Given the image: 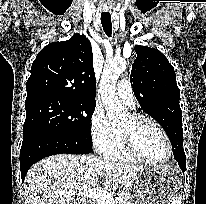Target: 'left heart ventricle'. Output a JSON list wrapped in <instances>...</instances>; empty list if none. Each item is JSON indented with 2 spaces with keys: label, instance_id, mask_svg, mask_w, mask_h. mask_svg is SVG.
Returning a JSON list of instances; mask_svg holds the SVG:
<instances>
[{
  "label": "left heart ventricle",
  "instance_id": "left-heart-ventricle-1",
  "mask_svg": "<svg viewBox=\"0 0 206 204\" xmlns=\"http://www.w3.org/2000/svg\"><path fill=\"white\" fill-rule=\"evenodd\" d=\"M127 117L120 126H127ZM135 141L139 151L151 160H162L167 156L168 148L162 134L152 125L143 124L135 131Z\"/></svg>",
  "mask_w": 206,
  "mask_h": 204
}]
</instances>
